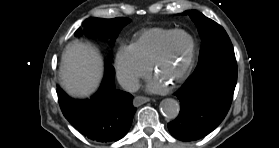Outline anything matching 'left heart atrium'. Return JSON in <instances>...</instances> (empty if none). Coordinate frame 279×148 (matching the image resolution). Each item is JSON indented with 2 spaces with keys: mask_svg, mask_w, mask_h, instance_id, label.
<instances>
[{
  "mask_svg": "<svg viewBox=\"0 0 279 148\" xmlns=\"http://www.w3.org/2000/svg\"><path fill=\"white\" fill-rule=\"evenodd\" d=\"M167 88V82L159 79L154 78L147 86V89L151 92H162Z\"/></svg>",
  "mask_w": 279,
  "mask_h": 148,
  "instance_id": "39dd6f15",
  "label": "left heart atrium"
}]
</instances>
